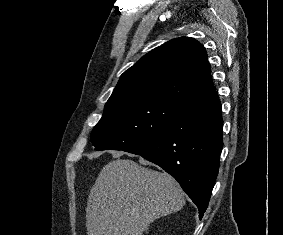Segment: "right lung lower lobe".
<instances>
[{"instance_id": "right-lung-lower-lobe-1", "label": "right lung lower lobe", "mask_w": 283, "mask_h": 235, "mask_svg": "<svg viewBox=\"0 0 283 235\" xmlns=\"http://www.w3.org/2000/svg\"><path fill=\"white\" fill-rule=\"evenodd\" d=\"M223 120L217 92L190 100L156 136L124 151L142 156L172 175L202 218L219 170Z\"/></svg>"}]
</instances>
